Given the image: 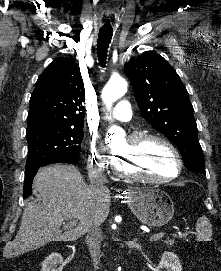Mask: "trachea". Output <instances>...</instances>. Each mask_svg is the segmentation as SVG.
<instances>
[{"label":"trachea","instance_id":"obj_1","mask_svg":"<svg viewBox=\"0 0 221 271\" xmlns=\"http://www.w3.org/2000/svg\"><path fill=\"white\" fill-rule=\"evenodd\" d=\"M113 30L111 27H101L97 41V55L99 65L105 67L109 44L111 43Z\"/></svg>","mask_w":221,"mask_h":271}]
</instances>
